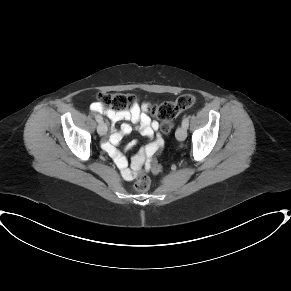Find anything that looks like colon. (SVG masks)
Wrapping results in <instances>:
<instances>
[{
	"mask_svg": "<svg viewBox=\"0 0 291 291\" xmlns=\"http://www.w3.org/2000/svg\"><path fill=\"white\" fill-rule=\"evenodd\" d=\"M135 103L134 98L126 93H100L98 95V104L103 109L122 110L132 107ZM195 103L193 95H182L175 101H166L157 107H149V111L154 113L161 121V130L165 135H169L173 129V119L183 110L192 107ZM160 165H153V172L162 173ZM150 178L142 174L133 183V189L137 192L147 191L150 187Z\"/></svg>",
	"mask_w": 291,
	"mask_h": 291,
	"instance_id": "obj_1",
	"label": "colon"
}]
</instances>
